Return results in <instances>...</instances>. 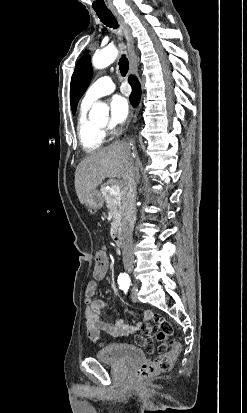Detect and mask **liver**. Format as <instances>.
Segmentation results:
<instances>
[{
  "label": "liver",
  "instance_id": "1",
  "mask_svg": "<svg viewBox=\"0 0 247 413\" xmlns=\"http://www.w3.org/2000/svg\"><path fill=\"white\" fill-rule=\"evenodd\" d=\"M127 158L128 152L122 142H112L84 156L75 170V190L80 202H85L106 176L121 178Z\"/></svg>",
  "mask_w": 247,
  "mask_h": 413
}]
</instances>
